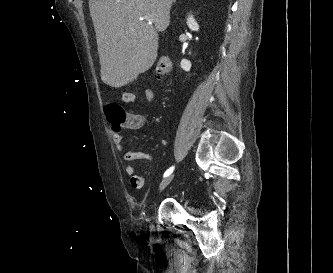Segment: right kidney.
Instances as JSON below:
<instances>
[{
    "label": "right kidney",
    "mask_w": 333,
    "mask_h": 273,
    "mask_svg": "<svg viewBox=\"0 0 333 273\" xmlns=\"http://www.w3.org/2000/svg\"><path fill=\"white\" fill-rule=\"evenodd\" d=\"M187 25H188L189 29L192 30V31H198L199 30V25L197 24V22L195 21L193 16H189L187 18ZM180 65H181V68L184 71H190V69H191V62L186 60V59H183L181 61Z\"/></svg>",
    "instance_id": "right-kidney-1"
}]
</instances>
